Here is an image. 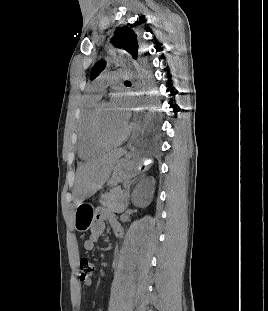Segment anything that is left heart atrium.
<instances>
[{
	"label": "left heart atrium",
	"mask_w": 268,
	"mask_h": 311,
	"mask_svg": "<svg viewBox=\"0 0 268 311\" xmlns=\"http://www.w3.org/2000/svg\"><path fill=\"white\" fill-rule=\"evenodd\" d=\"M110 105L120 120L127 124L129 118V108L126 107L124 96L120 93L114 94Z\"/></svg>",
	"instance_id": "39dd6f15"
}]
</instances>
